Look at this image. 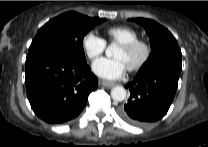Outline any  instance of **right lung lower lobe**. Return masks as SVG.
Wrapping results in <instances>:
<instances>
[{
	"mask_svg": "<svg viewBox=\"0 0 208 147\" xmlns=\"http://www.w3.org/2000/svg\"><path fill=\"white\" fill-rule=\"evenodd\" d=\"M27 97L36 115L50 124L76 118L84 109L98 79L87 62L63 53L26 59Z\"/></svg>",
	"mask_w": 208,
	"mask_h": 147,
	"instance_id": "right-lung-lower-lobe-1",
	"label": "right lung lower lobe"
}]
</instances>
